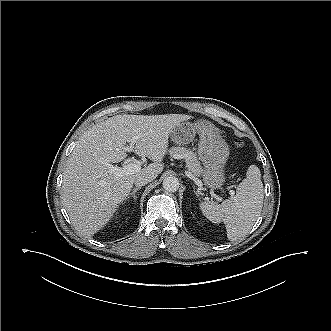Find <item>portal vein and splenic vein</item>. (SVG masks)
Instances as JSON below:
<instances>
[{"label":"portal vein and splenic vein","mask_w":331,"mask_h":331,"mask_svg":"<svg viewBox=\"0 0 331 331\" xmlns=\"http://www.w3.org/2000/svg\"><path fill=\"white\" fill-rule=\"evenodd\" d=\"M133 142L134 141H132L130 143V148H132L134 146ZM179 157L180 156L177 155V158H179ZM108 167H109V173L114 174L115 176H118V177H122L124 175L135 174V173L139 172L141 169L140 164H138V163H129L128 165L123 166V167H114V166H111L108 164ZM188 177L194 178V176L191 173H188ZM196 182L199 183V180ZM229 194L231 196H233L235 193L233 190H230Z\"/></svg>","instance_id":"obj_1"}]
</instances>
